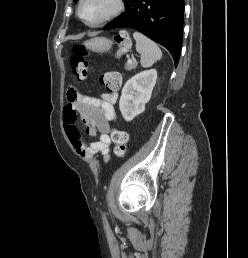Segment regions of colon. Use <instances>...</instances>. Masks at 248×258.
I'll return each instance as SVG.
<instances>
[{
  "mask_svg": "<svg viewBox=\"0 0 248 258\" xmlns=\"http://www.w3.org/2000/svg\"><path fill=\"white\" fill-rule=\"evenodd\" d=\"M119 46L118 54L126 53L131 46L130 40L124 31H120L114 37ZM86 49L82 45H77L73 49V54L70 57V67L72 73L79 81H85L88 77V61L86 60ZM103 82L108 90L116 91L120 87V78L116 72L106 73L103 77ZM110 136L115 143V154L118 157H123L126 153V144L128 135L125 131L112 129Z\"/></svg>",
  "mask_w": 248,
  "mask_h": 258,
  "instance_id": "5ec220e1",
  "label": "colon"
}]
</instances>
